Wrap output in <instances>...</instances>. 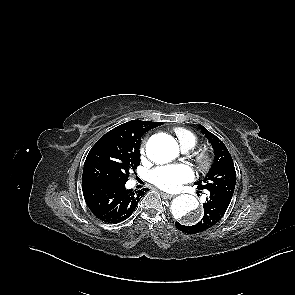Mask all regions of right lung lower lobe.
Here are the masks:
<instances>
[{"label":"right lung lower lobe","instance_id":"right-lung-lower-lobe-1","mask_svg":"<svg viewBox=\"0 0 295 295\" xmlns=\"http://www.w3.org/2000/svg\"><path fill=\"white\" fill-rule=\"evenodd\" d=\"M87 206L106 223L117 224L132 215L146 190L126 189L125 184L87 183L82 185Z\"/></svg>","mask_w":295,"mask_h":295}]
</instances>
